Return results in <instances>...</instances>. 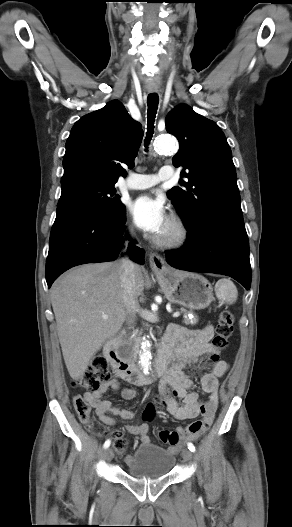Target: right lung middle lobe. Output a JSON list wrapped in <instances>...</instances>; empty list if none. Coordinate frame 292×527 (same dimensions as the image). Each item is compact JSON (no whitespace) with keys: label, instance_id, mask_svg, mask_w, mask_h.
<instances>
[{"label":"right lung middle lobe","instance_id":"obj_1","mask_svg":"<svg viewBox=\"0 0 292 527\" xmlns=\"http://www.w3.org/2000/svg\"><path fill=\"white\" fill-rule=\"evenodd\" d=\"M61 186L57 209L64 206L85 207L113 220L119 219L125 212V205L118 200L114 184L77 177L61 182Z\"/></svg>","mask_w":292,"mask_h":527}]
</instances>
